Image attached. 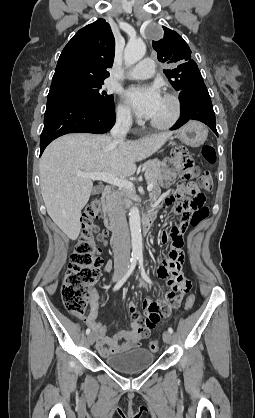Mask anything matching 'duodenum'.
I'll return each mask as SVG.
<instances>
[{
  "mask_svg": "<svg viewBox=\"0 0 255 418\" xmlns=\"http://www.w3.org/2000/svg\"><path fill=\"white\" fill-rule=\"evenodd\" d=\"M102 204L104 213V224L105 227L115 232L118 229V215L113 205V195L111 187L107 186L102 193ZM155 219V211L149 209L143 217V230L145 233L149 232Z\"/></svg>",
  "mask_w": 255,
  "mask_h": 418,
  "instance_id": "410a0bca",
  "label": "duodenum"
}]
</instances>
